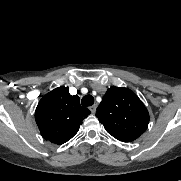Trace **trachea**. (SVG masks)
<instances>
[{"mask_svg":"<svg viewBox=\"0 0 181 181\" xmlns=\"http://www.w3.org/2000/svg\"><path fill=\"white\" fill-rule=\"evenodd\" d=\"M81 104L83 106H91L94 104V98L91 95H86L82 98Z\"/></svg>","mask_w":181,"mask_h":181,"instance_id":"3493384b","label":"trachea"}]
</instances>
